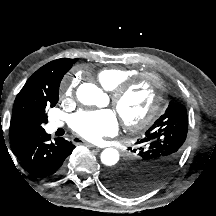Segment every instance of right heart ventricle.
Masks as SVG:
<instances>
[{
    "label": "right heart ventricle",
    "instance_id": "e07e8e85",
    "mask_svg": "<svg viewBox=\"0 0 216 216\" xmlns=\"http://www.w3.org/2000/svg\"><path fill=\"white\" fill-rule=\"evenodd\" d=\"M136 74L137 70L129 67H107L97 73V81L104 89L112 91L120 83Z\"/></svg>",
    "mask_w": 216,
    "mask_h": 216
}]
</instances>
